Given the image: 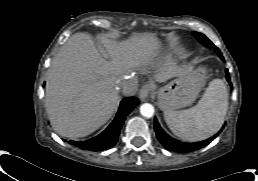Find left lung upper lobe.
<instances>
[{
    "label": "left lung upper lobe",
    "instance_id": "1",
    "mask_svg": "<svg viewBox=\"0 0 258 181\" xmlns=\"http://www.w3.org/2000/svg\"><path fill=\"white\" fill-rule=\"evenodd\" d=\"M193 34L201 44H203L204 46L209 47V48H214V50L218 54V56L220 58H222V54H221L220 50L217 47H215V45L205 35H203L199 32H193Z\"/></svg>",
    "mask_w": 258,
    "mask_h": 181
}]
</instances>
